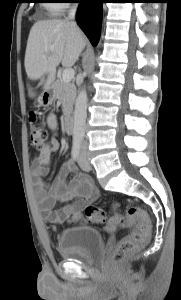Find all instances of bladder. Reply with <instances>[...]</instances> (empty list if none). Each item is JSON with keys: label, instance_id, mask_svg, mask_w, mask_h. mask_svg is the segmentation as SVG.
I'll return each mask as SVG.
<instances>
[{"label": "bladder", "instance_id": "bladder-1", "mask_svg": "<svg viewBox=\"0 0 181 300\" xmlns=\"http://www.w3.org/2000/svg\"><path fill=\"white\" fill-rule=\"evenodd\" d=\"M60 255L73 261H91L100 256L104 247L101 232L88 226L64 229L58 238Z\"/></svg>", "mask_w": 181, "mask_h": 300}]
</instances>
